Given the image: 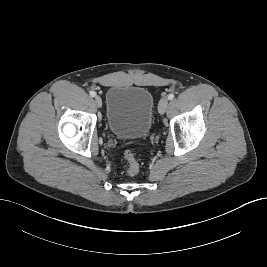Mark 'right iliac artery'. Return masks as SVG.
<instances>
[{
    "label": "right iliac artery",
    "instance_id": "right-iliac-artery-1",
    "mask_svg": "<svg viewBox=\"0 0 267 267\" xmlns=\"http://www.w3.org/2000/svg\"><path fill=\"white\" fill-rule=\"evenodd\" d=\"M90 95H91L92 97H95V96H96V92H95V91H91V92H90Z\"/></svg>",
    "mask_w": 267,
    "mask_h": 267
}]
</instances>
